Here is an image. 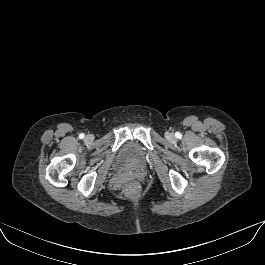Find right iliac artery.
<instances>
[{
	"instance_id": "82829eb1",
	"label": "right iliac artery",
	"mask_w": 265,
	"mask_h": 265,
	"mask_svg": "<svg viewBox=\"0 0 265 265\" xmlns=\"http://www.w3.org/2000/svg\"><path fill=\"white\" fill-rule=\"evenodd\" d=\"M79 138H80V139H83V138H84V134L81 133V134L79 135Z\"/></svg>"
}]
</instances>
